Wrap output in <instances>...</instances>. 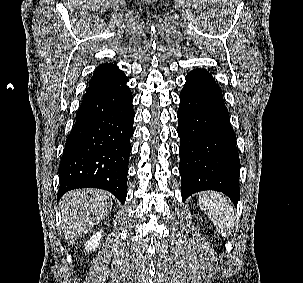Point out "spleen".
<instances>
[{"label": "spleen", "mask_w": 303, "mask_h": 283, "mask_svg": "<svg viewBox=\"0 0 303 283\" xmlns=\"http://www.w3.org/2000/svg\"><path fill=\"white\" fill-rule=\"evenodd\" d=\"M198 204L222 237L231 234L235 216L233 206L226 196L218 192H204L199 196Z\"/></svg>", "instance_id": "3e777b00"}]
</instances>
